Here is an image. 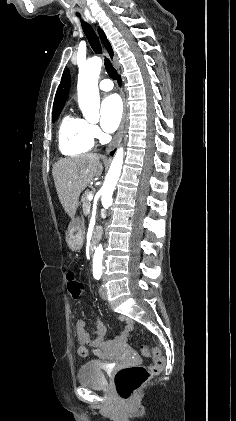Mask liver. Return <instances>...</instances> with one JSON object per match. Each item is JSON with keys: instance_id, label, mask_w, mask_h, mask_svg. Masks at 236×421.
<instances>
[{"instance_id": "liver-1", "label": "liver", "mask_w": 236, "mask_h": 421, "mask_svg": "<svg viewBox=\"0 0 236 421\" xmlns=\"http://www.w3.org/2000/svg\"><path fill=\"white\" fill-rule=\"evenodd\" d=\"M103 166L98 154L87 152L72 158H60L53 164L52 174L65 213L76 215L80 192L94 176L102 174Z\"/></svg>"}]
</instances>
